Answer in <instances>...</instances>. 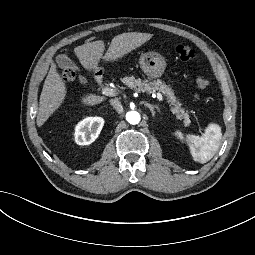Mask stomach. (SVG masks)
<instances>
[{"mask_svg": "<svg viewBox=\"0 0 255 255\" xmlns=\"http://www.w3.org/2000/svg\"><path fill=\"white\" fill-rule=\"evenodd\" d=\"M149 58H153V61L151 62ZM144 61H147V63H144ZM141 68L148 78L158 79L164 74L166 64L161 56L146 54L141 58Z\"/></svg>", "mask_w": 255, "mask_h": 255, "instance_id": "1", "label": "stomach"}]
</instances>
